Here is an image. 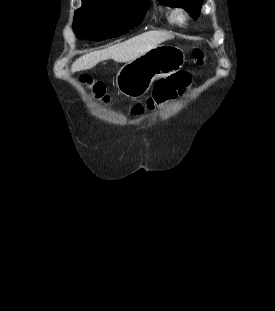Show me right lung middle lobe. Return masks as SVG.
I'll return each mask as SVG.
<instances>
[{"instance_id":"1","label":"right lung middle lobe","mask_w":275,"mask_h":311,"mask_svg":"<svg viewBox=\"0 0 275 311\" xmlns=\"http://www.w3.org/2000/svg\"><path fill=\"white\" fill-rule=\"evenodd\" d=\"M148 8L147 0L88 2L75 11L73 28L79 39L120 36L139 25Z\"/></svg>"}]
</instances>
